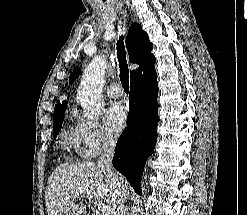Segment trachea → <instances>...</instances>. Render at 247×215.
Instances as JSON below:
<instances>
[{"instance_id": "1", "label": "trachea", "mask_w": 247, "mask_h": 215, "mask_svg": "<svg viewBox=\"0 0 247 215\" xmlns=\"http://www.w3.org/2000/svg\"><path fill=\"white\" fill-rule=\"evenodd\" d=\"M124 37L120 36L117 41V57L120 68V81L124 90H129V69L126 60V51L123 42Z\"/></svg>"}]
</instances>
